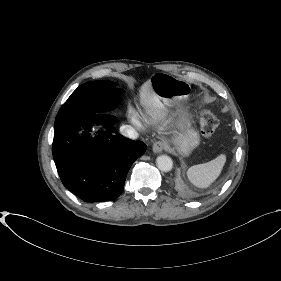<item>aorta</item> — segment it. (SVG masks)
I'll return each mask as SVG.
<instances>
[{
  "label": "aorta",
  "instance_id": "1",
  "mask_svg": "<svg viewBox=\"0 0 281 281\" xmlns=\"http://www.w3.org/2000/svg\"><path fill=\"white\" fill-rule=\"evenodd\" d=\"M156 164L159 170L163 172H169L173 168V161L172 159L167 155H161L158 156L156 159Z\"/></svg>",
  "mask_w": 281,
  "mask_h": 281
}]
</instances>
